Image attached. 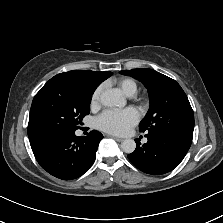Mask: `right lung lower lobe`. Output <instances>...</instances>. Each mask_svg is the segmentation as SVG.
I'll return each instance as SVG.
<instances>
[{"label":"right lung lower lobe","mask_w":223,"mask_h":223,"mask_svg":"<svg viewBox=\"0 0 223 223\" xmlns=\"http://www.w3.org/2000/svg\"><path fill=\"white\" fill-rule=\"evenodd\" d=\"M102 138L103 135L95 130L85 137L76 136L74 131L30 144L44 170L59 179L71 180L83 175L91 167Z\"/></svg>","instance_id":"98d812e1"}]
</instances>
